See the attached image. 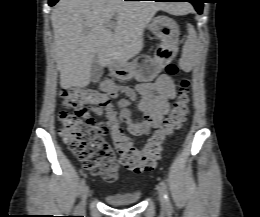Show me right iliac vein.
Instances as JSON below:
<instances>
[{
    "label": "right iliac vein",
    "mask_w": 260,
    "mask_h": 217,
    "mask_svg": "<svg viewBox=\"0 0 260 217\" xmlns=\"http://www.w3.org/2000/svg\"><path fill=\"white\" fill-rule=\"evenodd\" d=\"M89 194V188L88 186H85L83 189V195H82V200H81V204H80V211L82 212L85 208V204H86V200Z\"/></svg>",
    "instance_id": "63e3f726"
}]
</instances>
